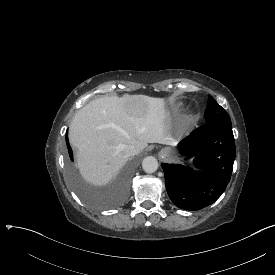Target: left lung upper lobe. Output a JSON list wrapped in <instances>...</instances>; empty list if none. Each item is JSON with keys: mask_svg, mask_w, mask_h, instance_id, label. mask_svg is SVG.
<instances>
[{"mask_svg": "<svg viewBox=\"0 0 275 275\" xmlns=\"http://www.w3.org/2000/svg\"><path fill=\"white\" fill-rule=\"evenodd\" d=\"M204 118L206 122H224L231 124L230 117L226 111L210 95L208 96Z\"/></svg>", "mask_w": 275, "mask_h": 275, "instance_id": "5c2ea615", "label": "left lung upper lobe"}]
</instances>
